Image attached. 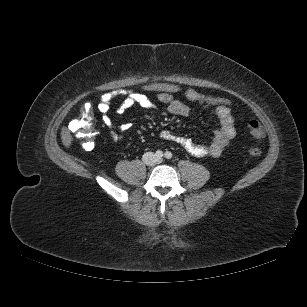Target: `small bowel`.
Segmentation results:
<instances>
[{
	"mask_svg": "<svg viewBox=\"0 0 307 307\" xmlns=\"http://www.w3.org/2000/svg\"><path fill=\"white\" fill-rule=\"evenodd\" d=\"M116 95L112 93H106L101 96L98 103V111L101 115L102 122L109 128L110 135L115 141L122 139V135L115 130L113 122L109 116L113 100ZM122 101L116 107L118 114H123L129 108L138 105L145 109H155V105L152 100L143 92L132 91L123 94ZM200 93L193 89L185 91V97L203 107L211 110L215 118L219 122V127L216 130L213 139L206 144L196 143L191 138L176 135L169 130H162L160 137L163 140L174 142L183 147L188 153L196 157L211 156L218 157L222 154L224 149L228 146L230 141L236 135V129L234 124V118L228 106H206L197 102ZM157 99L166 105L167 112L173 115L188 116L192 112V108L187 104L175 99L174 95L169 91H160L157 93ZM129 129L127 124L119 127V131H126Z\"/></svg>",
	"mask_w": 307,
	"mask_h": 307,
	"instance_id": "obj_1",
	"label": "small bowel"
}]
</instances>
